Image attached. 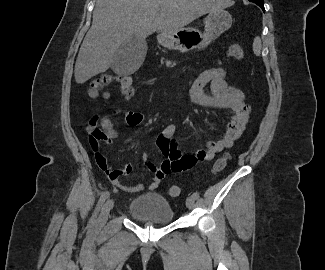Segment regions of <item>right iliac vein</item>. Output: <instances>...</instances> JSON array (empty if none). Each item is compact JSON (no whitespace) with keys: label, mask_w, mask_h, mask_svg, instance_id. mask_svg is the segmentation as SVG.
Returning a JSON list of instances; mask_svg holds the SVG:
<instances>
[{"label":"right iliac vein","mask_w":325,"mask_h":270,"mask_svg":"<svg viewBox=\"0 0 325 270\" xmlns=\"http://www.w3.org/2000/svg\"><path fill=\"white\" fill-rule=\"evenodd\" d=\"M113 206H114V201L112 199L106 201V203L103 205L101 209V213L97 220L98 225H103L107 221L109 213L113 208Z\"/></svg>","instance_id":"right-iliac-vein-1"}]
</instances>
